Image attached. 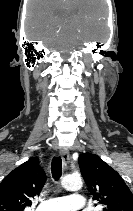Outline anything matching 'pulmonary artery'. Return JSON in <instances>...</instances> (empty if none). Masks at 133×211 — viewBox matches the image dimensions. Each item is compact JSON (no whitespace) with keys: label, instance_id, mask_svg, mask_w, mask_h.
I'll return each mask as SVG.
<instances>
[{"label":"pulmonary artery","instance_id":"e3ab8cb5","mask_svg":"<svg viewBox=\"0 0 133 211\" xmlns=\"http://www.w3.org/2000/svg\"><path fill=\"white\" fill-rule=\"evenodd\" d=\"M85 206L84 196L73 193L68 196L47 199L37 207L36 211H76L84 209Z\"/></svg>","mask_w":133,"mask_h":211}]
</instances>
